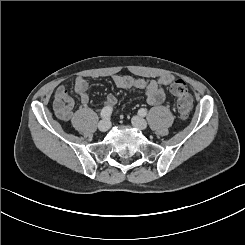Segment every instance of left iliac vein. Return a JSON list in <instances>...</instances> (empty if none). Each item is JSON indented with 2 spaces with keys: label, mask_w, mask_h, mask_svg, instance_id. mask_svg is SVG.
I'll use <instances>...</instances> for the list:
<instances>
[{
  "label": "left iliac vein",
  "mask_w": 245,
  "mask_h": 245,
  "mask_svg": "<svg viewBox=\"0 0 245 245\" xmlns=\"http://www.w3.org/2000/svg\"><path fill=\"white\" fill-rule=\"evenodd\" d=\"M132 124L140 130H145L147 127V122L140 116H134L132 118Z\"/></svg>",
  "instance_id": "4c4485c4"
}]
</instances>
